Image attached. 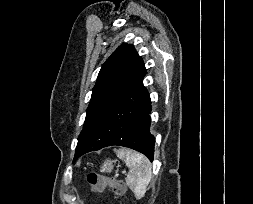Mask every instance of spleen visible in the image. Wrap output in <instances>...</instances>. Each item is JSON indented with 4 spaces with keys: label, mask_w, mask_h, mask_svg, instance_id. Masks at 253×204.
Segmentation results:
<instances>
[{
    "label": "spleen",
    "mask_w": 253,
    "mask_h": 204,
    "mask_svg": "<svg viewBox=\"0 0 253 204\" xmlns=\"http://www.w3.org/2000/svg\"><path fill=\"white\" fill-rule=\"evenodd\" d=\"M117 156L129 167L126 184L137 199L144 197L147 186L152 178V167L147 157L130 149L115 150Z\"/></svg>",
    "instance_id": "3e777b00"
}]
</instances>
